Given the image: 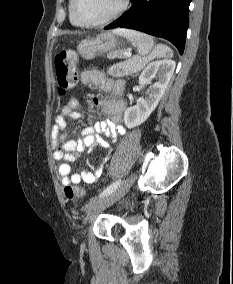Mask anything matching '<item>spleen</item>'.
<instances>
[{"instance_id":"spleen-1","label":"spleen","mask_w":233,"mask_h":284,"mask_svg":"<svg viewBox=\"0 0 233 284\" xmlns=\"http://www.w3.org/2000/svg\"><path fill=\"white\" fill-rule=\"evenodd\" d=\"M115 33L131 41L137 48L138 54L142 57L154 58L173 55L172 50L168 46L164 44L154 45L153 38L145 33L130 29H118Z\"/></svg>"}]
</instances>
